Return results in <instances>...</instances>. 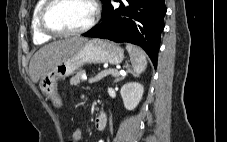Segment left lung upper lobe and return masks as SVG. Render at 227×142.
<instances>
[{
    "label": "left lung upper lobe",
    "instance_id": "5c2ea615",
    "mask_svg": "<svg viewBox=\"0 0 227 142\" xmlns=\"http://www.w3.org/2000/svg\"><path fill=\"white\" fill-rule=\"evenodd\" d=\"M110 2V0H102L104 7Z\"/></svg>",
    "mask_w": 227,
    "mask_h": 142
}]
</instances>
